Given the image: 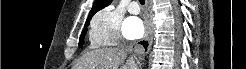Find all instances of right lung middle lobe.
Segmentation results:
<instances>
[{
    "label": "right lung middle lobe",
    "instance_id": "right-lung-middle-lobe-1",
    "mask_svg": "<svg viewBox=\"0 0 246 69\" xmlns=\"http://www.w3.org/2000/svg\"><path fill=\"white\" fill-rule=\"evenodd\" d=\"M89 22L90 21H87L86 24H85V27H87L89 25ZM87 32V29H84L81 36H80V39H79V46H82L83 43H84V37H85V34Z\"/></svg>",
    "mask_w": 246,
    "mask_h": 69
}]
</instances>
